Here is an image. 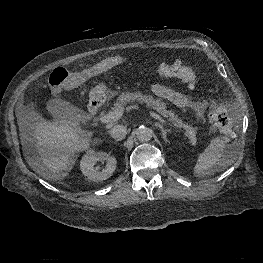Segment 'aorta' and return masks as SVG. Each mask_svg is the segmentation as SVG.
<instances>
[{"instance_id": "1", "label": "aorta", "mask_w": 263, "mask_h": 263, "mask_svg": "<svg viewBox=\"0 0 263 263\" xmlns=\"http://www.w3.org/2000/svg\"><path fill=\"white\" fill-rule=\"evenodd\" d=\"M152 135L153 131L146 126H140L136 129V137L141 142H147L151 140Z\"/></svg>"}]
</instances>
